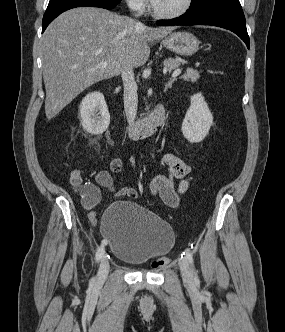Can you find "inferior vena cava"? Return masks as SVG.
<instances>
[{
	"label": "inferior vena cava",
	"instance_id": "1",
	"mask_svg": "<svg viewBox=\"0 0 285 332\" xmlns=\"http://www.w3.org/2000/svg\"><path fill=\"white\" fill-rule=\"evenodd\" d=\"M122 81L124 84V109L128 123H133L137 114L138 95L137 84L134 78L133 69L126 66L122 71Z\"/></svg>",
	"mask_w": 285,
	"mask_h": 332
}]
</instances>
